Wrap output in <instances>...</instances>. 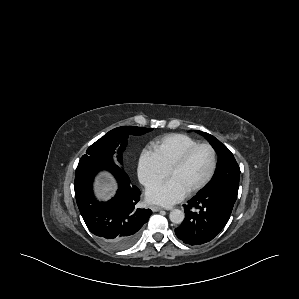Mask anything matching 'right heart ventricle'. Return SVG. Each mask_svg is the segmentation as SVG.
<instances>
[{
	"label": "right heart ventricle",
	"mask_w": 299,
	"mask_h": 299,
	"mask_svg": "<svg viewBox=\"0 0 299 299\" xmlns=\"http://www.w3.org/2000/svg\"><path fill=\"white\" fill-rule=\"evenodd\" d=\"M197 143L196 139L188 135L172 133L156 139L151 143V147L161 165L169 171L182 153Z\"/></svg>",
	"instance_id": "obj_1"
}]
</instances>
